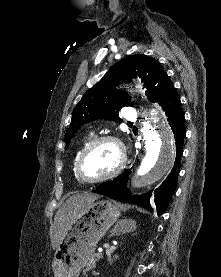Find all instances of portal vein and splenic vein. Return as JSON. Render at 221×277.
<instances>
[{
    "mask_svg": "<svg viewBox=\"0 0 221 277\" xmlns=\"http://www.w3.org/2000/svg\"><path fill=\"white\" fill-rule=\"evenodd\" d=\"M98 257H101L102 256V254H101V252H97V254H96Z\"/></svg>",
    "mask_w": 221,
    "mask_h": 277,
    "instance_id": "portal-vein-and-splenic-vein-1",
    "label": "portal vein and splenic vein"
}]
</instances>
